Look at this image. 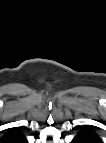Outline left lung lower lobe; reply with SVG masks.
Returning <instances> with one entry per match:
<instances>
[{
  "label": "left lung lower lobe",
  "mask_w": 106,
  "mask_h": 143,
  "mask_svg": "<svg viewBox=\"0 0 106 143\" xmlns=\"http://www.w3.org/2000/svg\"><path fill=\"white\" fill-rule=\"evenodd\" d=\"M73 143H88L82 136L79 134L73 139Z\"/></svg>",
  "instance_id": "left-lung-lower-lobe-1"
}]
</instances>
